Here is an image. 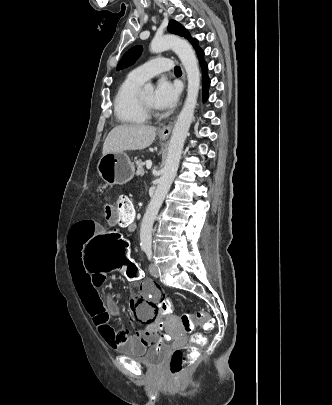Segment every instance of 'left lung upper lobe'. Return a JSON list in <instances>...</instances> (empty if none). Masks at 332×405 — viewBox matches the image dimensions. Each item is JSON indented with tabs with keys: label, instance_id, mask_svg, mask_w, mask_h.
Returning a JSON list of instances; mask_svg holds the SVG:
<instances>
[{
	"label": "left lung upper lobe",
	"instance_id": "5c2ea615",
	"mask_svg": "<svg viewBox=\"0 0 332 405\" xmlns=\"http://www.w3.org/2000/svg\"><path fill=\"white\" fill-rule=\"evenodd\" d=\"M167 30L172 34H176L187 38L195 47V49H199V47L197 46V41L195 39H192L188 31L178 22L170 20ZM141 51H142L141 46H135L129 49L121 58L117 66V69H122L133 64L138 59Z\"/></svg>",
	"mask_w": 332,
	"mask_h": 405
}]
</instances>
